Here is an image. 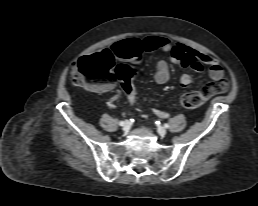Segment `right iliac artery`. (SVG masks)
I'll use <instances>...</instances> for the list:
<instances>
[{"label":"right iliac artery","instance_id":"1","mask_svg":"<svg viewBox=\"0 0 258 206\" xmlns=\"http://www.w3.org/2000/svg\"><path fill=\"white\" fill-rule=\"evenodd\" d=\"M123 124H124V121H120V122H119V125H120V126H123Z\"/></svg>","mask_w":258,"mask_h":206}]
</instances>
